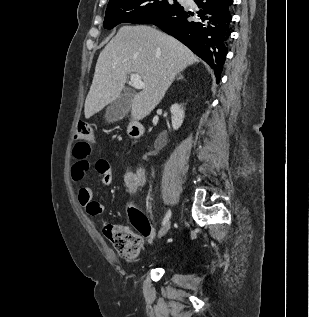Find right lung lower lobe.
<instances>
[{
  "mask_svg": "<svg viewBox=\"0 0 309 317\" xmlns=\"http://www.w3.org/2000/svg\"><path fill=\"white\" fill-rule=\"evenodd\" d=\"M197 9L183 6L146 18L138 24H154L188 46L214 69L217 83L227 54L233 0H194Z\"/></svg>",
  "mask_w": 309,
  "mask_h": 317,
  "instance_id": "right-lung-lower-lobe-1",
  "label": "right lung lower lobe"
}]
</instances>
